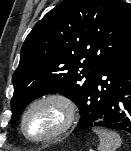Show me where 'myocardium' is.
<instances>
[{"label": "myocardium", "instance_id": "obj_1", "mask_svg": "<svg viewBox=\"0 0 131 151\" xmlns=\"http://www.w3.org/2000/svg\"><path fill=\"white\" fill-rule=\"evenodd\" d=\"M44 104H53L58 106L63 113L62 122L55 130H53L48 135L43 137H32L26 131V119L33 109ZM75 119L76 105L74 101L63 93L50 92L37 97L26 107L22 114L20 125L22 134L27 140L34 143H45L52 141L66 133L74 124Z\"/></svg>", "mask_w": 131, "mask_h": 151}]
</instances>
